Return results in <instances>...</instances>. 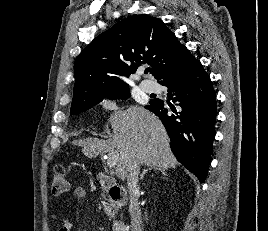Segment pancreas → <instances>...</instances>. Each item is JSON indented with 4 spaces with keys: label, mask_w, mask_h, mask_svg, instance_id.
Instances as JSON below:
<instances>
[{
    "label": "pancreas",
    "mask_w": 268,
    "mask_h": 231,
    "mask_svg": "<svg viewBox=\"0 0 268 231\" xmlns=\"http://www.w3.org/2000/svg\"><path fill=\"white\" fill-rule=\"evenodd\" d=\"M103 196L102 200V205L104 207V211L107 214V216L111 219L115 217V211H116V206L115 203L110 201L109 199L105 198V195Z\"/></svg>",
    "instance_id": "obj_1"
}]
</instances>
